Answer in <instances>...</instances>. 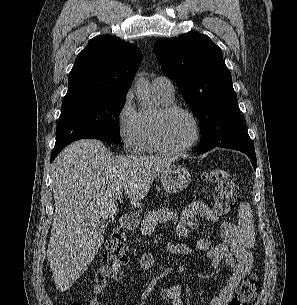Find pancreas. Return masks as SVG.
<instances>
[{
	"mask_svg": "<svg viewBox=\"0 0 297 305\" xmlns=\"http://www.w3.org/2000/svg\"><path fill=\"white\" fill-rule=\"evenodd\" d=\"M174 218V213L168 208L149 211L141 223L143 235L150 236L158 222H167Z\"/></svg>",
	"mask_w": 297,
	"mask_h": 305,
	"instance_id": "obj_1",
	"label": "pancreas"
}]
</instances>
